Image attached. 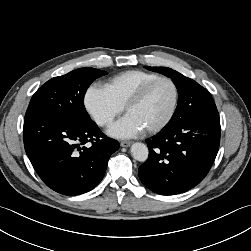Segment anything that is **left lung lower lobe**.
I'll return each instance as SVG.
<instances>
[{
	"mask_svg": "<svg viewBox=\"0 0 251 251\" xmlns=\"http://www.w3.org/2000/svg\"><path fill=\"white\" fill-rule=\"evenodd\" d=\"M180 118L147 139L149 157L139 178L161 195L180 194L208 174L219 149L220 119L210 93L196 91L182 102Z\"/></svg>",
	"mask_w": 251,
	"mask_h": 251,
	"instance_id": "0a47b994",
	"label": "left lung lower lobe"
}]
</instances>
